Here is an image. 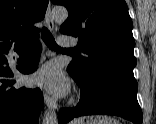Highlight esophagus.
Wrapping results in <instances>:
<instances>
[{"label":"esophagus","mask_w":156,"mask_h":124,"mask_svg":"<svg viewBox=\"0 0 156 124\" xmlns=\"http://www.w3.org/2000/svg\"><path fill=\"white\" fill-rule=\"evenodd\" d=\"M45 22L46 25L48 27V29L53 30L55 27L53 18H52V12H51V3L49 2L47 10H46V14H45ZM44 102L45 104L53 109V110H57V104L56 102L46 93H44Z\"/></svg>","instance_id":"esophagus-1"}]
</instances>
